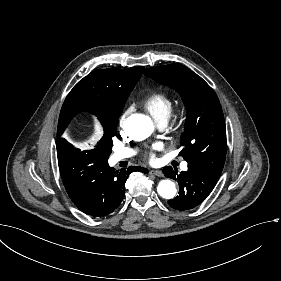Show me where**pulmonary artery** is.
<instances>
[{"mask_svg": "<svg viewBox=\"0 0 281 281\" xmlns=\"http://www.w3.org/2000/svg\"><path fill=\"white\" fill-rule=\"evenodd\" d=\"M159 124L161 126L165 125V119L158 120ZM133 155V151L130 149L125 148H117L113 151L111 155V161L112 163H116L122 160H125ZM188 164L186 162H183L181 165L182 170H187Z\"/></svg>", "mask_w": 281, "mask_h": 281, "instance_id": "1", "label": "pulmonary artery"}]
</instances>
